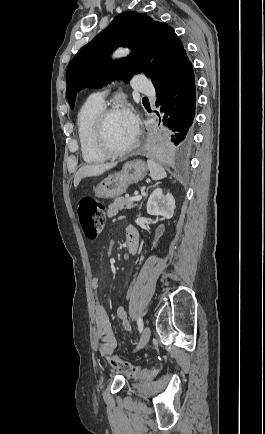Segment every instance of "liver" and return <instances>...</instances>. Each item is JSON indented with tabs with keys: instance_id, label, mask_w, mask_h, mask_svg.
Here are the masks:
<instances>
[{
	"instance_id": "liver-1",
	"label": "liver",
	"mask_w": 265,
	"mask_h": 434,
	"mask_svg": "<svg viewBox=\"0 0 265 434\" xmlns=\"http://www.w3.org/2000/svg\"><path fill=\"white\" fill-rule=\"evenodd\" d=\"M117 162H111V164H93V166H82L74 176V188L79 186L83 178H91V176H101L107 170H111L116 166Z\"/></svg>"
}]
</instances>
